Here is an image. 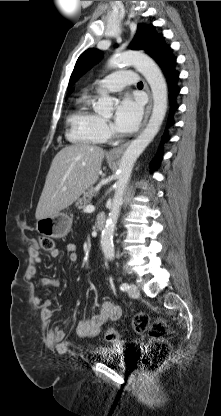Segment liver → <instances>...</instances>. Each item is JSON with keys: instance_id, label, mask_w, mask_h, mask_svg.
Wrapping results in <instances>:
<instances>
[{"instance_id": "liver-1", "label": "liver", "mask_w": 221, "mask_h": 416, "mask_svg": "<svg viewBox=\"0 0 221 416\" xmlns=\"http://www.w3.org/2000/svg\"><path fill=\"white\" fill-rule=\"evenodd\" d=\"M104 154L102 148L88 144H73L61 149L46 176L36 219L58 214L93 186L99 178Z\"/></svg>"}]
</instances>
